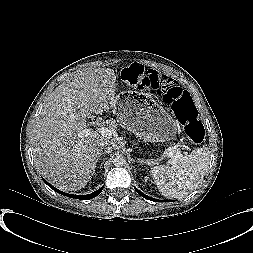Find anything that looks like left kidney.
<instances>
[{"instance_id": "obj_1", "label": "left kidney", "mask_w": 253, "mask_h": 253, "mask_svg": "<svg viewBox=\"0 0 253 253\" xmlns=\"http://www.w3.org/2000/svg\"><path fill=\"white\" fill-rule=\"evenodd\" d=\"M148 179H149V177L146 176V177H145V182H147Z\"/></svg>"}]
</instances>
